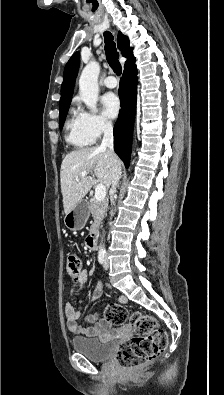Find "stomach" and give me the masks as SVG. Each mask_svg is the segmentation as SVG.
Wrapping results in <instances>:
<instances>
[{
	"mask_svg": "<svg viewBox=\"0 0 224 395\" xmlns=\"http://www.w3.org/2000/svg\"><path fill=\"white\" fill-rule=\"evenodd\" d=\"M89 205L85 200L80 201L64 218L65 226L70 230H81L89 218Z\"/></svg>",
	"mask_w": 224,
	"mask_h": 395,
	"instance_id": "stomach-1",
	"label": "stomach"
}]
</instances>
